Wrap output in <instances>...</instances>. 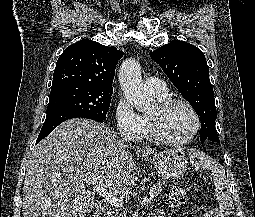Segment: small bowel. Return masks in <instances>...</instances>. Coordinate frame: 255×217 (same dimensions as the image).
<instances>
[{"instance_id": "1", "label": "small bowel", "mask_w": 255, "mask_h": 217, "mask_svg": "<svg viewBox=\"0 0 255 217\" xmlns=\"http://www.w3.org/2000/svg\"><path fill=\"white\" fill-rule=\"evenodd\" d=\"M151 217H170L164 214V212L162 210H155L152 214Z\"/></svg>"}]
</instances>
